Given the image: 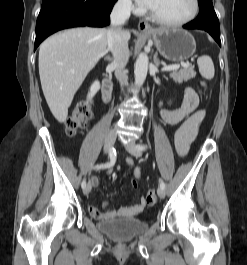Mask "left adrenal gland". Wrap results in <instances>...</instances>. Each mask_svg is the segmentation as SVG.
Masks as SVG:
<instances>
[{
    "label": "left adrenal gland",
    "mask_w": 247,
    "mask_h": 265,
    "mask_svg": "<svg viewBox=\"0 0 247 265\" xmlns=\"http://www.w3.org/2000/svg\"><path fill=\"white\" fill-rule=\"evenodd\" d=\"M158 53L156 52L154 55V63L157 67H159L160 63H159V59L157 58Z\"/></svg>",
    "instance_id": "1"
}]
</instances>
